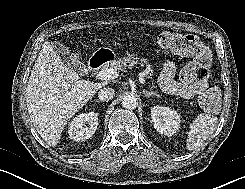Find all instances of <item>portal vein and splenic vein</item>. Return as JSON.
<instances>
[{
	"instance_id": "portal-vein-and-splenic-vein-1",
	"label": "portal vein and splenic vein",
	"mask_w": 245,
	"mask_h": 189,
	"mask_svg": "<svg viewBox=\"0 0 245 189\" xmlns=\"http://www.w3.org/2000/svg\"><path fill=\"white\" fill-rule=\"evenodd\" d=\"M144 73H141L139 75V81L144 84L145 83V79L144 77ZM118 77V72L116 69H102L101 71H99L96 74V78L100 79V80H112Z\"/></svg>"
}]
</instances>
